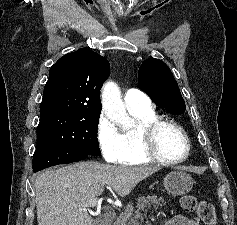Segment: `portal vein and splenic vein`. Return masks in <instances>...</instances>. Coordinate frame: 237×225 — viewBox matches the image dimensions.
<instances>
[{
  "label": "portal vein and splenic vein",
  "instance_id": "18ae733b",
  "mask_svg": "<svg viewBox=\"0 0 237 225\" xmlns=\"http://www.w3.org/2000/svg\"><path fill=\"white\" fill-rule=\"evenodd\" d=\"M101 199L99 198H94V199H91L90 201H88L84 206L86 207H100L101 206Z\"/></svg>",
  "mask_w": 237,
  "mask_h": 225
}]
</instances>
